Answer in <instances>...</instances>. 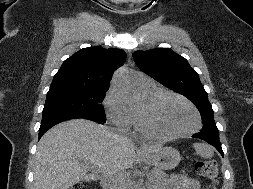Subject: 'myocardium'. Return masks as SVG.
<instances>
[{
	"mask_svg": "<svg viewBox=\"0 0 253 189\" xmlns=\"http://www.w3.org/2000/svg\"><path fill=\"white\" fill-rule=\"evenodd\" d=\"M164 97L176 98L182 101L183 103H185L187 106H189L195 114V118H196L195 126L191 128L190 130L179 132V133H165L155 128L150 122V114L152 110L154 109V107L158 104V102ZM200 127H201V116L198 109L195 107V105L192 102H190L188 99L183 97L182 95L177 94L175 92H171V91H162L156 94L155 96H153L152 98H150L149 100H147L144 103L139 113V129L142 133H144L145 135L151 138L162 139V140L183 138V137L196 133L200 129Z\"/></svg>",
	"mask_w": 253,
	"mask_h": 189,
	"instance_id": "myocardium-1",
	"label": "myocardium"
}]
</instances>
